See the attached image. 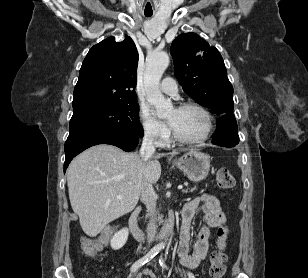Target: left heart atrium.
Wrapping results in <instances>:
<instances>
[{
	"mask_svg": "<svg viewBox=\"0 0 308 278\" xmlns=\"http://www.w3.org/2000/svg\"><path fill=\"white\" fill-rule=\"evenodd\" d=\"M169 123H170V125L172 126V122H171V121H169Z\"/></svg>",
	"mask_w": 308,
	"mask_h": 278,
	"instance_id": "obj_1",
	"label": "left heart atrium"
}]
</instances>
